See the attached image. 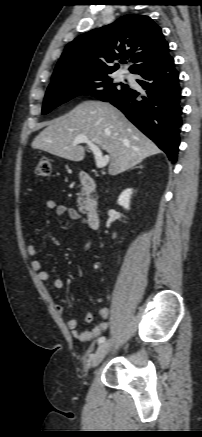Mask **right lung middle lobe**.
Masks as SVG:
<instances>
[{"instance_id": "right-lung-middle-lobe-1", "label": "right lung middle lobe", "mask_w": 202, "mask_h": 437, "mask_svg": "<svg viewBox=\"0 0 202 437\" xmlns=\"http://www.w3.org/2000/svg\"><path fill=\"white\" fill-rule=\"evenodd\" d=\"M128 89L123 83H114L110 74L82 76L52 82L46 92L42 114H47L57 106L79 95H92L107 101Z\"/></svg>"}]
</instances>
